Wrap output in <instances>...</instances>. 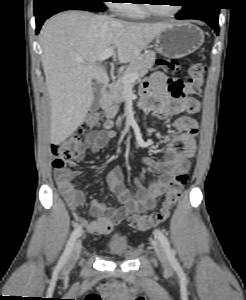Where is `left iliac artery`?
Here are the masks:
<instances>
[{"label": "left iliac artery", "instance_id": "obj_1", "mask_svg": "<svg viewBox=\"0 0 246 300\" xmlns=\"http://www.w3.org/2000/svg\"><path fill=\"white\" fill-rule=\"evenodd\" d=\"M155 234L158 237L159 241L161 242L170 262L173 265H178V262L174 256V252L171 249L170 242L168 241L167 237L164 235V233L162 231H160L158 229L155 230Z\"/></svg>", "mask_w": 246, "mask_h": 300}]
</instances>
